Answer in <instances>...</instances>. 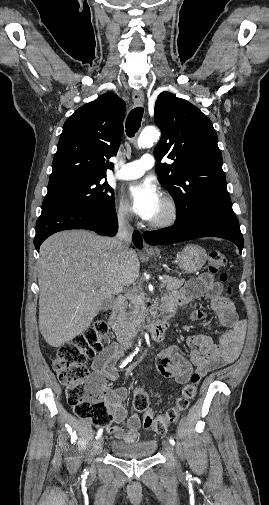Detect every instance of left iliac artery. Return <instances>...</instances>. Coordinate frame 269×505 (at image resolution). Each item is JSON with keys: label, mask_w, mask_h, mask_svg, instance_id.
<instances>
[{"label": "left iliac artery", "mask_w": 269, "mask_h": 505, "mask_svg": "<svg viewBox=\"0 0 269 505\" xmlns=\"http://www.w3.org/2000/svg\"><path fill=\"white\" fill-rule=\"evenodd\" d=\"M169 442H170L171 445H175V441H174L173 438H169Z\"/></svg>", "instance_id": "1"}]
</instances>
